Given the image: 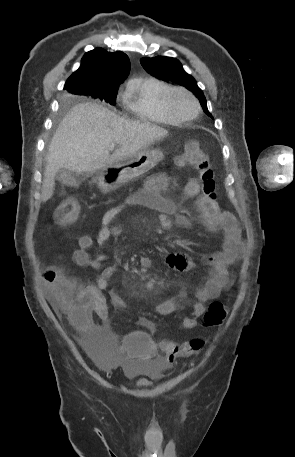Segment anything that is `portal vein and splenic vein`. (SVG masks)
Here are the masks:
<instances>
[{
	"mask_svg": "<svg viewBox=\"0 0 295 457\" xmlns=\"http://www.w3.org/2000/svg\"><path fill=\"white\" fill-rule=\"evenodd\" d=\"M114 146H115V144H114V143H112V144L110 145V148H111V149H113V148H114Z\"/></svg>",
	"mask_w": 295,
	"mask_h": 457,
	"instance_id": "portal-vein-and-splenic-vein-1",
	"label": "portal vein and splenic vein"
}]
</instances>
